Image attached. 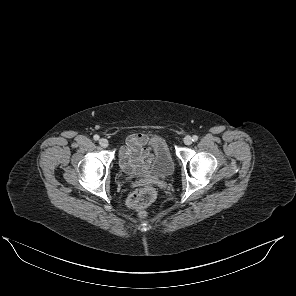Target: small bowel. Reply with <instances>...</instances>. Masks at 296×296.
<instances>
[{
    "instance_id": "small-bowel-1",
    "label": "small bowel",
    "mask_w": 296,
    "mask_h": 296,
    "mask_svg": "<svg viewBox=\"0 0 296 296\" xmlns=\"http://www.w3.org/2000/svg\"><path fill=\"white\" fill-rule=\"evenodd\" d=\"M152 160L151 148L145 134H132L127 137L126 145L119 150L121 168L130 174L146 170Z\"/></svg>"
}]
</instances>
